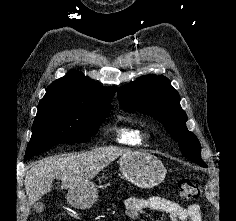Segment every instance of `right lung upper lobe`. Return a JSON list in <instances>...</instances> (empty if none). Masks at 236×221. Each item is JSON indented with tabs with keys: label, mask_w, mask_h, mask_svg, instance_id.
I'll return each mask as SVG.
<instances>
[{
	"label": "right lung upper lobe",
	"mask_w": 236,
	"mask_h": 221,
	"mask_svg": "<svg viewBox=\"0 0 236 221\" xmlns=\"http://www.w3.org/2000/svg\"><path fill=\"white\" fill-rule=\"evenodd\" d=\"M115 87H101L76 70L52 82L46 90L40 105L90 106L110 104Z\"/></svg>",
	"instance_id": "right-lung-upper-lobe-1"
}]
</instances>
